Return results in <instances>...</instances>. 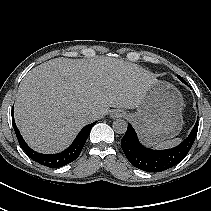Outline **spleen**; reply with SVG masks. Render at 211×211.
I'll return each instance as SVG.
<instances>
[{"label":"spleen","mask_w":211,"mask_h":211,"mask_svg":"<svg viewBox=\"0 0 211 211\" xmlns=\"http://www.w3.org/2000/svg\"><path fill=\"white\" fill-rule=\"evenodd\" d=\"M180 141H181V139L175 138L173 140H167V141L161 142V143L157 144L155 147L158 149L171 148V147H174L177 144H179Z\"/></svg>","instance_id":"1"}]
</instances>
